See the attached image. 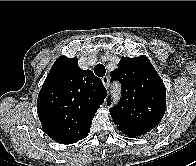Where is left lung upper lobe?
Listing matches in <instances>:
<instances>
[{
    "mask_svg": "<svg viewBox=\"0 0 196 166\" xmlns=\"http://www.w3.org/2000/svg\"><path fill=\"white\" fill-rule=\"evenodd\" d=\"M111 79L122 85L121 102L109 110L118 130L134 138L156 127L165 113L166 89L149 59L122 57Z\"/></svg>",
    "mask_w": 196,
    "mask_h": 166,
    "instance_id": "1",
    "label": "left lung upper lobe"
}]
</instances>
